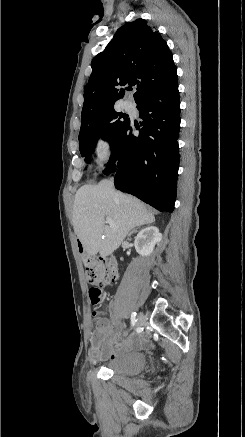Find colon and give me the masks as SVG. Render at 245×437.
Instances as JSON below:
<instances>
[{
  "instance_id": "1",
  "label": "colon",
  "mask_w": 245,
  "mask_h": 437,
  "mask_svg": "<svg viewBox=\"0 0 245 437\" xmlns=\"http://www.w3.org/2000/svg\"><path fill=\"white\" fill-rule=\"evenodd\" d=\"M85 275L92 288L89 291L93 305L102 301V288L115 283L118 279L117 262L113 257H90L85 261Z\"/></svg>"
}]
</instances>
